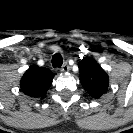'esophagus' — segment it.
Listing matches in <instances>:
<instances>
[{"label":"esophagus","instance_id":"34e87169","mask_svg":"<svg viewBox=\"0 0 133 133\" xmlns=\"http://www.w3.org/2000/svg\"><path fill=\"white\" fill-rule=\"evenodd\" d=\"M69 69H70V67H69V65L67 64V62H65L63 65H62V67H61V72H67V71H69Z\"/></svg>","mask_w":133,"mask_h":133}]
</instances>
